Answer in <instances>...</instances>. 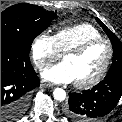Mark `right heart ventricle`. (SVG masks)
I'll return each mask as SVG.
<instances>
[{
	"label": "right heart ventricle",
	"mask_w": 122,
	"mask_h": 122,
	"mask_svg": "<svg viewBox=\"0 0 122 122\" xmlns=\"http://www.w3.org/2000/svg\"><path fill=\"white\" fill-rule=\"evenodd\" d=\"M53 37L58 51L63 54L89 39L100 38L102 35L93 25L79 23L59 29Z\"/></svg>",
	"instance_id": "e07e8e85"
}]
</instances>
